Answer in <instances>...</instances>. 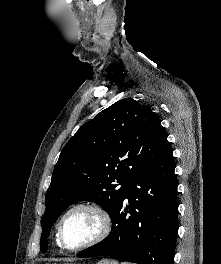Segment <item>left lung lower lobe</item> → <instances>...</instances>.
I'll list each match as a JSON object with an SVG mask.
<instances>
[{
    "label": "left lung lower lobe",
    "instance_id": "0a47b994",
    "mask_svg": "<svg viewBox=\"0 0 221 264\" xmlns=\"http://www.w3.org/2000/svg\"><path fill=\"white\" fill-rule=\"evenodd\" d=\"M174 169L173 151L166 141L156 159L127 186L110 216L111 233L77 257L104 255L138 264H173L178 231Z\"/></svg>",
    "mask_w": 221,
    "mask_h": 264
}]
</instances>
